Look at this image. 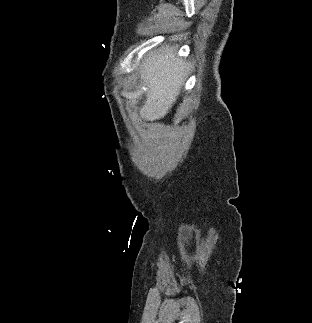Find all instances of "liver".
<instances>
[{"label": "liver", "mask_w": 312, "mask_h": 323, "mask_svg": "<svg viewBox=\"0 0 312 323\" xmlns=\"http://www.w3.org/2000/svg\"><path fill=\"white\" fill-rule=\"evenodd\" d=\"M187 72V64L182 58H177L176 48L150 52L141 70L143 84L148 86L146 102L139 110L144 122H154L169 114L181 94Z\"/></svg>", "instance_id": "6515ba94"}]
</instances>
